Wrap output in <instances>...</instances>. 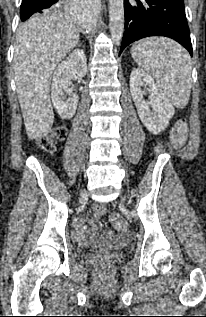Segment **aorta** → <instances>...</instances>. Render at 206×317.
<instances>
[{"mask_svg": "<svg viewBox=\"0 0 206 317\" xmlns=\"http://www.w3.org/2000/svg\"><path fill=\"white\" fill-rule=\"evenodd\" d=\"M78 22L86 28H92L95 20L89 13L83 12ZM109 27L112 40L119 43L124 31V0H109Z\"/></svg>", "mask_w": 206, "mask_h": 317, "instance_id": "obj_1", "label": "aorta"}]
</instances>
